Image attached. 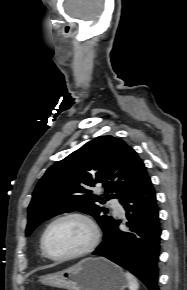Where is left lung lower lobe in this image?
<instances>
[{
    "label": "left lung lower lobe",
    "instance_id": "1",
    "mask_svg": "<svg viewBox=\"0 0 187 290\" xmlns=\"http://www.w3.org/2000/svg\"><path fill=\"white\" fill-rule=\"evenodd\" d=\"M120 203L126 211L128 230H120V220H114L104 231V240L93 254L104 256L130 271L149 290H159L161 227L150 177L144 176Z\"/></svg>",
    "mask_w": 187,
    "mask_h": 290
}]
</instances>
